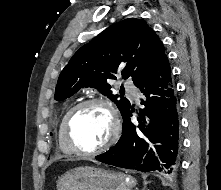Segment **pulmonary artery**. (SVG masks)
<instances>
[{"mask_svg":"<svg viewBox=\"0 0 221 190\" xmlns=\"http://www.w3.org/2000/svg\"><path fill=\"white\" fill-rule=\"evenodd\" d=\"M123 85H124L125 87H127V88H130V83L127 82V81H125V82L123 83ZM133 96L135 97V94H134Z\"/></svg>","mask_w":221,"mask_h":190,"instance_id":"obj_1","label":"pulmonary artery"}]
</instances>
